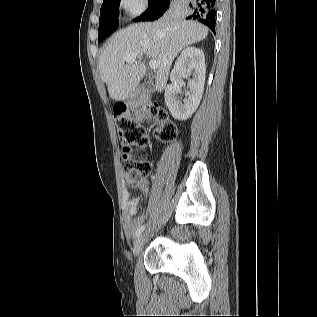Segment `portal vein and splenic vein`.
Wrapping results in <instances>:
<instances>
[{
	"label": "portal vein and splenic vein",
	"mask_w": 317,
	"mask_h": 317,
	"mask_svg": "<svg viewBox=\"0 0 317 317\" xmlns=\"http://www.w3.org/2000/svg\"><path fill=\"white\" fill-rule=\"evenodd\" d=\"M137 58V54L135 53H129L127 54L125 57H124V60L127 62V63H132L136 60ZM157 66H158V63L156 60H151L149 62V67L152 69V70H155L157 69Z\"/></svg>",
	"instance_id": "18ae733b"
}]
</instances>
